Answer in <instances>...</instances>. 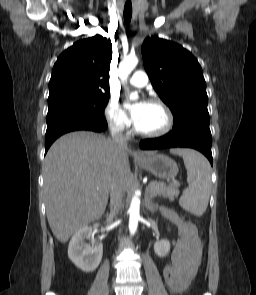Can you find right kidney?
<instances>
[{
	"label": "right kidney",
	"instance_id": "ca27d5eb",
	"mask_svg": "<svg viewBox=\"0 0 256 295\" xmlns=\"http://www.w3.org/2000/svg\"><path fill=\"white\" fill-rule=\"evenodd\" d=\"M96 223L92 226H84L77 230L70 240L68 257L79 269L86 273L93 272L100 264L103 255V245L95 248L85 244V239H90L93 228L98 227Z\"/></svg>",
	"mask_w": 256,
	"mask_h": 295
}]
</instances>
